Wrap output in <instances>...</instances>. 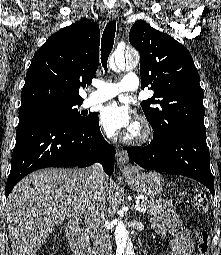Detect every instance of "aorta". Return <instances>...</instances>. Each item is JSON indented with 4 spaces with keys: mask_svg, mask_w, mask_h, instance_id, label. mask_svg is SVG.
Returning <instances> with one entry per match:
<instances>
[{
    "mask_svg": "<svg viewBox=\"0 0 221 255\" xmlns=\"http://www.w3.org/2000/svg\"><path fill=\"white\" fill-rule=\"evenodd\" d=\"M115 65L119 69H124L125 67L128 69H133L138 65L139 58L135 52H127L126 54L122 52H115ZM118 224L115 237L117 241V255H135L133 249V243L128 235V232L125 226L119 221L115 220Z\"/></svg>",
    "mask_w": 221,
    "mask_h": 255,
    "instance_id": "aorta-1",
    "label": "aorta"
}]
</instances>
